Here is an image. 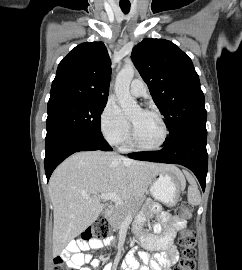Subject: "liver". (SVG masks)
Returning <instances> with one entry per match:
<instances>
[{"instance_id": "1", "label": "liver", "mask_w": 242, "mask_h": 270, "mask_svg": "<svg viewBox=\"0 0 242 270\" xmlns=\"http://www.w3.org/2000/svg\"><path fill=\"white\" fill-rule=\"evenodd\" d=\"M164 171L182 174L173 165L132 160L114 152L84 151L67 158L49 181L54 252L59 253L96 221L104 208L99 194L115 192L122 200L138 201Z\"/></svg>"}]
</instances>
